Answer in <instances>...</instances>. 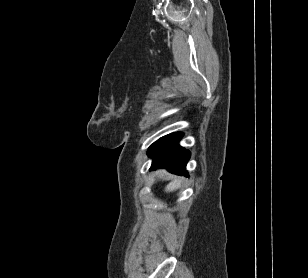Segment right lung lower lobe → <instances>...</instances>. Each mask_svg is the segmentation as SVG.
I'll list each match as a JSON object with an SVG mask.
<instances>
[{"label":"right lung lower lobe","mask_w":308,"mask_h":278,"mask_svg":"<svg viewBox=\"0 0 308 278\" xmlns=\"http://www.w3.org/2000/svg\"><path fill=\"white\" fill-rule=\"evenodd\" d=\"M183 136L182 133H172L160 138L153 143L148 150V156L153 159L151 169L166 168L169 172L187 176L186 163L190 158V152L178 142Z\"/></svg>","instance_id":"obj_1"}]
</instances>
